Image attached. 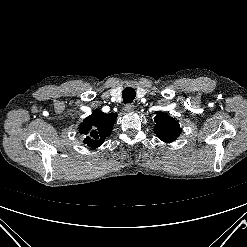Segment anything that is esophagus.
Masks as SVG:
<instances>
[{
	"mask_svg": "<svg viewBox=\"0 0 247 247\" xmlns=\"http://www.w3.org/2000/svg\"><path fill=\"white\" fill-rule=\"evenodd\" d=\"M134 109V105L132 103H128L125 105V110L127 112H131Z\"/></svg>",
	"mask_w": 247,
	"mask_h": 247,
	"instance_id": "1",
	"label": "esophagus"
}]
</instances>
